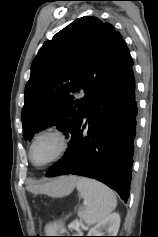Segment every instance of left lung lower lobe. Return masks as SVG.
<instances>
[{
  "label": "left lung lower lobe",
  "mask_w": 158,
  "mask_h": 237,
  "mask_svg": "<svg viewBox=\"0 0 158 237\" xmlns=\"http://www.w3.org/2000/svg\"><path fill=\"white\" fill-rule=\"evenodd\" d=\"M137 113L135 79L130 67L90 101L71 132L64 158L46 176L76 174L94 178L127 202Z\"/></svg>",
  "instance_id": "1"
}]
</instances>
